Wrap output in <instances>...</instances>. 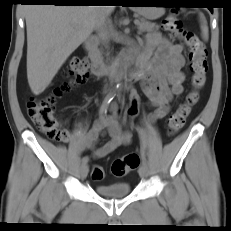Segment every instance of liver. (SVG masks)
<instances>
[{
  "mask_svg": "<svg viewBox=\"0 0 231 231\" xmlns=\"http://www.w3.org/2000/svg\"><path fill=\"white\" fill-rule=\"evenodd\" d=\"M98 6L28 5L27 78L35 95L51 83L68 57L96 28ZM109 12L114 6H108Z\"/></svg>",
  "mask_w": 231,
  "mask_h": 231,
  "instance_id": "liver-1",
  "label": "liver"
}]
</instances>
